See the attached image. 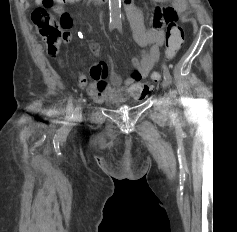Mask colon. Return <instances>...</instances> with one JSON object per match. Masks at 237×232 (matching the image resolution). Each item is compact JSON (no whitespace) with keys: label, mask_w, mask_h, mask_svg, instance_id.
Segmentation results:
<instances>
[{"label":"colon","mask_w":237,"mask_h":232,"mask_svg":"<svg viewBox=\"0 0 237 232\" xmlns=\"http://www.w3.org/2000/svg\"><path fill=\"white\" fill-rule=\"evenodd\" d=\"M41 6L33 10L31 14L35 25L36 33L44 40L47 52L50 55H56L63 41L70 38L69 30L72 26L71 17L66 13H60V18L56 19L47 8L55 4H64L66 0H41ZM184 40L183 29L176 23L168 25L165 46L168 59L175 57L182 47ZM152 79L157 81L159 75L154 73Z\"/></svg>","instance_id":"obj_1"}]
</instances>
